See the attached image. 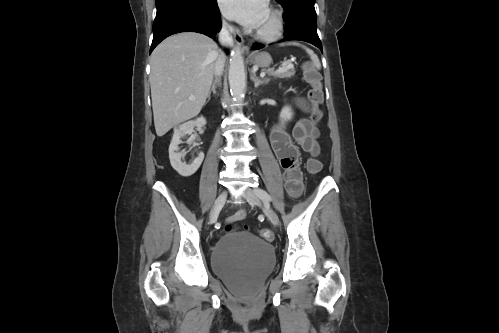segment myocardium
<instances>
[{
  "instance_id": "f54148a6",
  "label": "myocardium",
  "mask_w": 499,
  "mask_h": 333,
  "mask_svg": "<svg viewBox=\"0 0 499 333\" xmlns=\"http://www.w3.org/2000/svg\"><path fill=\"white\" fill-rule=\"evenodd\" d=\"M268 14L272 20V26L269 29L258 28L255 32V36L266 42H271L278 39L284 30V16L282 11L276 8H270Z\"/></svg>"
}]
</instances>
